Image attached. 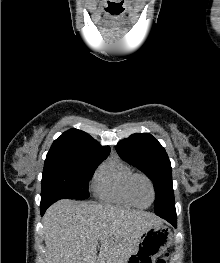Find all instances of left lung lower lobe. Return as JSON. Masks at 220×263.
<instances>
[{"label":"left lung lower lobe","mask_w":220,"mask_h":263,"mask_svg":"<svg viewBox=\"0 0 220 263\" xmlns=\"http://www.w3.org/2000/svg\"><path fill=\"white\" fill-rule=\"evenodd\" d=\"M157 215L162 217V218H164L165 220H167L174 227L177 226V216H176V211L175 210L170 209V210H168L166 212L159 213Z\"/></svg>","instance_id":"left-lung-lower-lobe-1"}]
</instances>
